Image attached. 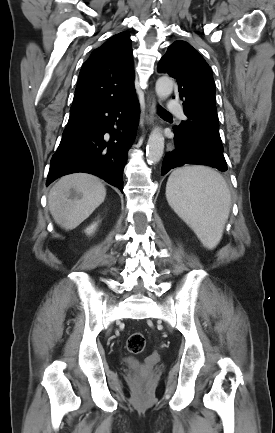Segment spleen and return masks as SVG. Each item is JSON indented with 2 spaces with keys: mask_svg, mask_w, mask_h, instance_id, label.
Segmentation results:
<instances>
[{
  "mask_svg": "<svg viewBox=\"0 0 275 433\" xmlns=\"http://www.w3.org/2000/svg\"><path fill=\"white\" fill-rule=\"evenodd\" d=\"M166 198L206 248L216 247L231 205L227 183L217 171L205 166L174 170L168 178Z\"/></svg>",
  "mask_w": 275,
  "mask_h": 433,
  "instance_id": "3e777b00",
  "label": "spleen"
}]
</instances>
